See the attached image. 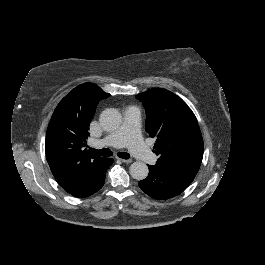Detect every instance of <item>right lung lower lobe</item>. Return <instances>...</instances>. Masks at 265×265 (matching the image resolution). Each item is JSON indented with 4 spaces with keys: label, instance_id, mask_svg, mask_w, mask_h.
Wrapping results in <instances>:
<instances>
[{
    "label": "right lung lower lobe",
    "instance_id": "right-lung-lower-lobe-1",
    "mask_svg": "<svg viewBox=\"0 0 265 265\" xmlns=\"http://www.w3.org/2000/svg\"><path fill=\"white\" fill-rule=\"evenodd\" d=\"M107 163H108V167L111 166L112 163H113V159L108 158V162ZM104 178L97 184V186L93 190H91L89 192L77 194V195H75V197L84 198V197L90 196L91 194L95 193L96 191H98L103 186Z\"/></svg>",
    "mask_w": 265,
    "mask_h": 265
}]
</instances>
